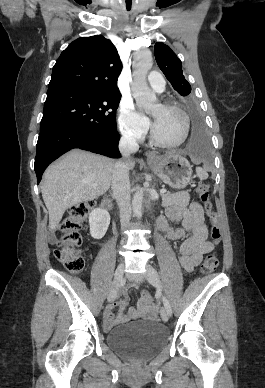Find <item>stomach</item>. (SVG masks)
Listing matches in <instances>:
<instances>
[{"instance_id": "1", "label": "stomach", "mask_w": 265, "mask_h": 388, "mask_svg": "<svg viewBox=\"0 0 265 388\" xmlns=\"http://www.w3.org/2000/svg\"><path fill=\"white\" fill-rule=\"evenodd\" d=\"M147 161L154 173L170 187L181 189L189 184L192 176L191 165L179 154L153 156Z\"/></svg>"}]
</instances>
